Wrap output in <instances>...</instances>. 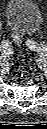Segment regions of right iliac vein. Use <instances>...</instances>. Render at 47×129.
<instances>
[{
    "label": "right iliac vein",
    "instance_id": "63e3f726",
    "mask_svg": "<svg viewBox=\"0 0 47 129\" xmlns=\"http://www.w3.org/2000/svg\"><path fill=\"white\" fill-rule=\"evenodd\" d=\"M8 47H9V45H3V44H1V46H0L1 50L7 49Z\"/></svg>",
    "mask_w": 47,
    "mask_h": 129
}]
</instances>
